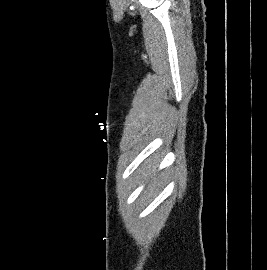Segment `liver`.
Masks as SVG:
<instances>
[{"label": "liver", "mask_w": 267, "mask_h": 270, "mask_svg": "<svg viewBox=\"0 0 267 270\" xmlns=\"http://www.w3.org/2000/svg\"><path fill=\"white\" fill-rule=\"evenodd\" d=\"M158 162H151V160H147L145 164L142 165L140 172V180L147 181L149 183L147 185L148 193H153L157 187H159L164 179V173L160 172L155 174V171L158 167Z\"/></svg>", "instance_id": "1"}]
</instances>
